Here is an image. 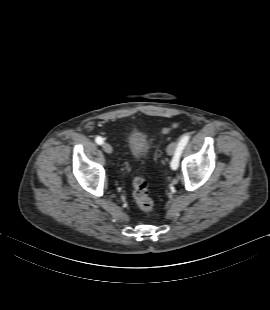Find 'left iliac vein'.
<instances>
[{"label":"left iliac vein","instance_id":"obj_1","mask_svg":"<svg viewBox=\"0 0 270 310\" xmlns=\"http://www.w3.org/2000/svg\"><path fill=\"white\" fill-rule=\"evenodd\" d=\"M176 146H177L176 142L170 143V144L168 145V147H167V153H168L169 155H173L174 152H175Z\"/></svg>","mask_w":270,"mask_h":310}]
</instances>
